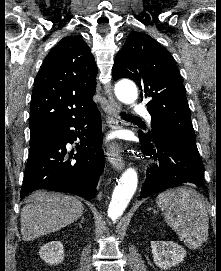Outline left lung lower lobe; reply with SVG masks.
Here are the masks:
<instances>
[{"label": "left lung lower lobe", "mask_w": 221, "mask_h": 271, "mask_svg": "<svg viewBox=\"0 0 221 271\" xmlns=\"http://www.w3.org/2000/svg\"><path fill=\"white\" fill-rule=\"evenodd\" d=\"M151 127L149 132L140 131L139 138L144 145L143 153L150 158L158 157L159 165L146 173L140 197L145 198L187 182L200 187L204 167L196 144L162 126ZM153 148L157 149V154Z\"/></svg>", "instance_id": "0a47b994"}]
</instances>
